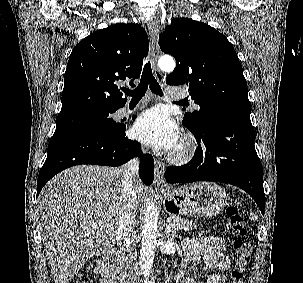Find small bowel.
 I'll return each instance as SVG.
<instances>
[{
  "instance_id": "obj_1",
  "label": "small bowel",
  "mask_w": 303,
  "mask_h": 283,
  "mask_svg": "<svg viewBox=\"0 0 303 283\" xmlns=\"http://www.w3.org/2000/svg\"><path fill=\"white\" fill-rule=\"evenodd\" d=\"M184 263L186 262H205L210 268H218L227 270L229 268V258L227 247L224 240L217 236L207 239L189 238L184 241ZM183 265V264H182ZM103 279L101 283H109L106 273L99 269ZM182 273V267L178 271L176 277ZM185 283H198L195 280H187ZM206 283H222V278L218 274H212L208 277Z\"/></svg>"
}]
</instances>
